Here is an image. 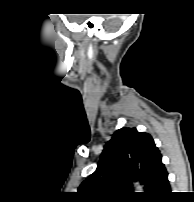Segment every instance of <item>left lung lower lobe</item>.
I'll use <instances>...</instances> for the list:
<instances>
[{
  "label": "left lung lower lobe",
  "instance_id": "1",
  "mask_svg": "<svg viewBox=\"0 0 194 202\" xmlns=\"http://www.w3.org/2000/svg\"><path fill=\"white\" fill-rule=\"evenodd\" d=\"M170 194L171 192L168 181V173L164 166L151 198L166 201V199L169 198Z\"/></svg>",
  "mask_w": 194,
  "mask_h": 202
}]
</instances>
